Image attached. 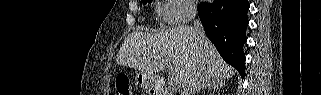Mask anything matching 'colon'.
Listing matches in <instances>:
<instances>
[{
  "label": "colon",
  "instance_id": "colon-1",
  "mask_svg": "<svg viewBox=\"0 0 321 95\" xmlns=\"http://www.w3.org/2000/svg\"><path fill=\"white\" fill-rule=\"evenodd\" d=\"M117 95H132V89L128 77L119 76L116 79Z\"/></svg>",
  "mask_w": 321,
  "mask_h": 95
}]
</instances>
